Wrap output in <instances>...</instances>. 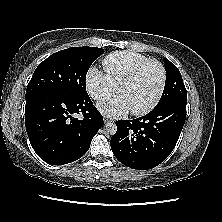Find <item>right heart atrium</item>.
<instances>
[{"mask_svg":"<svg viewBox=\"0 0 222 222\" xmlns=\"http://www.w3.org/2000/svg\"><path fill=\"white\" fill-rule=\"evenodd\" d=\"M86 89L89 95L100 101L113 94L117 87L109 76L96 67H91L85 78Z\"/></svg>","mask_w":222,"mask_h":222,"instance_id":"obj_1","label":"right heart atrium"}]
</instances>
